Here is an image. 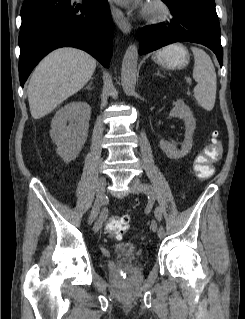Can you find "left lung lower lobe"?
Instances as JSON below:
<instances>
[{
    "label": "left lung lower lobe",
    "instance_id": "1",
    "mask_svg": "<svg viewBox=\"0 0 245 319\" xmlns=\"http://www.w3.org/2000/svg\"><path fill=\"white\" fill-rule=\"evenodd\" d=\"M167 6L173 19L168 23L141 29L139 54L143 55L175 42H194L210 48L222 66L223 49L217 14L190 5Z\"/></svg>",
    "mask_w": 245,
    "mask_h": 319
}]
</instances>
